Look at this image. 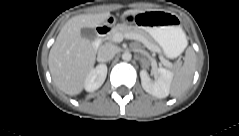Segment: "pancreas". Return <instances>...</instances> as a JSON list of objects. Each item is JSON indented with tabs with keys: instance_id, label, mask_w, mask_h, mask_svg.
I'll return each instance as SVG.
<instances>
[{
	"instance_id": "1",
	"label": "pancreas",
	"mask_w": 239,
	"mask_h": 136,
	"mask_svg": "<svg viewBox=\"0 0 239 136\" xmlns=\"http://www.w3.org/2000/svg\"><path fill=\"white\" fill-rule=\"evenodd\" d=\"M118 33H120L122 35H125V34L140 35L144 39L147 40V42L154 49V51L161 52V49L159 48V46L157 44H155L154 41L147 34H145L141 29H139L138 27L128 26V25H125V24L116 25L112 28V30L106 36V39L109 40V41H113L114 35L118 34ZM168 67H170L171 69H174V66H168Z\"/></svg>"
}]
</instances>
